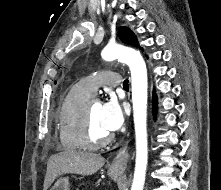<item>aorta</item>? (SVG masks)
<instances>
[{
	"label": "aorta",
	"mask_w": 221,
	"mask_h": 190,
	"mask_svg": "<svg viewBox=\"0 0 221 190\" xmlns=\"http://www.w3.org/2000/svg\"><path fill=\"white\" fill-rule=\"evenodd\" d=\"M101 56L106 61L118 59L127 64L131 71L136 137V163L131 190H143L148 162L146 64L138 51L119 44L105 47Z\"/></svg>",
	"instance_id": "1"
}]
</instances>
